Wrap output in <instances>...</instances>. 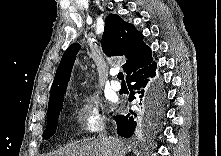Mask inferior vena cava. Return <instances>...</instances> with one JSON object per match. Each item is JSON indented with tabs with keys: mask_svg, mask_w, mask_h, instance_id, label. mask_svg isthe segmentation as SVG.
Here are the masks:
<instances>
[{
	"mask_svg": "<svg viewBox=\"0 0 221 156\" xmlns=\"http://www.w3.org/2000/svg\"><path fill=\"white\" fill-rule=\"evenodd\" d=\"M100 140L102 141V143L105 146H110L111 145L110 139L106 135H102Z\"/></svg>",
	"mask_w": 221,
	"mask_h": 156,
	"instance_id": "inferior-vena-cava-1",
	"label": "inferior vena cava"
}]
</instances>
